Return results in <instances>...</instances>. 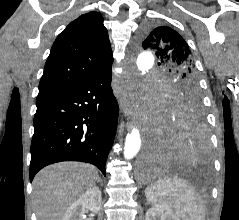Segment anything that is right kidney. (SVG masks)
Returning a JSON list of instances; mask_svg holds the SVG:
<instances>
[{"label": "right kidney", "instance_id": "ca27d5eb", "mask_svg": "<svg viewBox=\"0 0 239 220\" xmlns=\"http://www.w3.org/2000/svg\"><path fill=\"white\" fill-rule=\"evenodd\" d=\"M102 202L101 191L98 187L89 188L66 210L63 220H83L85 209L97 213Z\"/></svg>", "mask_w": 239, "mask_h": 220}]
</instances>
